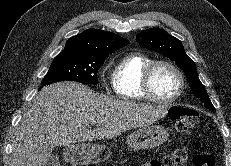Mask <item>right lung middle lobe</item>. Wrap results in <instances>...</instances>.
Here are the masks:
<instances>
[{"mask_svg":"<svg viewBox=\"0 0 231 166\" xmlns=\"http://www.w3.org/2000/svg\"><path fill=\"white\" fill-rule=\"evenodd\" d=\"M106 56H89L75 52L62 51L51 63L49 71L41 85H49L59 81H76L84 84H96L97 73Z\"/></svg>","mask_w":231,"mask_h":166,"instance_id":"obj_1","label":"right lung middle lobe"}]
</instances>
